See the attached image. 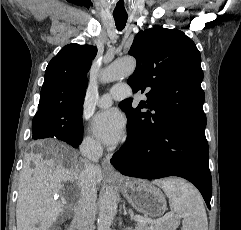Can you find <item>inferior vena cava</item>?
Wrapping results in <instances>:
<instances>
[{
	"label": "inferior vena cava",
	"instance_id": "1",
	"mask_svg": "<svg viewBox=\"0 0 241 230\" xmlns=\"http://www.w3.org/2000/svg\"><path fill=\"white\" fill-rule=\"evenodd\" d=\"M82 153L90 160L98 159L102 154V147L100 144H89ZM79 185L80 199L75 207L73 223L78 230H94L97 190L94 165L89 161H85L84 169L79 175Z\"/></svg>",
	"mask_w": 241,
	"mask_h": 230
}]
</instances>
